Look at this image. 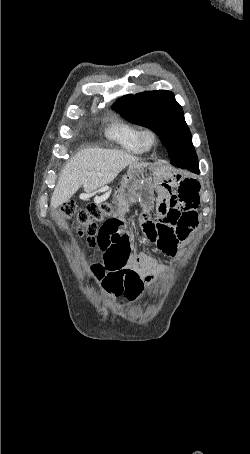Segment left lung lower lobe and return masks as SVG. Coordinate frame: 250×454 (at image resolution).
I'll return each mask as SVG.
<instances>
[{
  "instance_id": "0a47b994",
  "label": "left lung lower lobe",
  "mask_w": 250,
  "mask_h": 454,
  "mask_svg": "<svg viewBox=\"0 0 250 454\" xmlns=\"http://www.w3.org/2000/svg\"><path fill=\"white\" fill-rule=\"evenodd\" d=\"M170 163L178 168L188 169L194 173H199L197 156L192 153L171 156Z\"/></svg>"
}]
</instances>
